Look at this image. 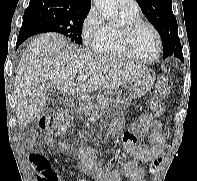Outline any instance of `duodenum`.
Returning a JSON list of instances; mask_svg holds the SVG:
<instances>
[{
    "mask_svg": "<svg viewBox=\"0 0 197 181\" xmlns=\"http://www.w3.org/2000/svg\"><path fill=\"white\" fill-rule=\"evenodd\" d=\"M83 107H84V104L80 100H74L72 102V109L74 112H77V113L80 112L83 109Z\"/></svg>",
    "mask_w": 197,
    "mask_h": 181,
    "instance_id": "1",
    "label": "duodenum"
}]
</instances>
